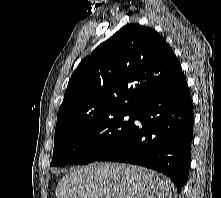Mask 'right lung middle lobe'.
Returning <instances> with one entry per match:
<instances>
[{
	"label": "right lung middle lobe",
	"instance_id": "dd1d6c3e",
	"mask_svg": "<svg viewBox=\"0 0 221 198\" xmlns=\"http://www.w3.org/2000/svg\"><path fill=\"white\" fill-rule=\"evenodd\" d=\"M129 115V121H123ZM135 114L121 112L99 119L74 132L55 137L50 166L87 164L118 144L134 125Z\"/></svg>",
	"mask_w": 221,
	"mask_h": 198
}]
</instances>
